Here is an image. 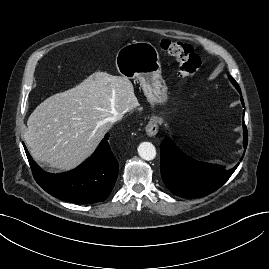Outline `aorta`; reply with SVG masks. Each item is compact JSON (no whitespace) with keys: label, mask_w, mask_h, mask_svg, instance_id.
Returning a JSON list of instances; mask_svg holds the SVG:
<instances>
[{"label":"aorta","mask_w":269,"mask_h":269,"mask_svg":"<svg viewBox=\"0 0 269 269\" xmlns=\"http://www.w3.org/2000/svg\"><path fill=\"white\" fill-rule=\"evenodd\" d=\"M138 154L144 160H153L156 157L155 146L150 142H142L138 146Z\"/></svg>","instance_id":"1"}]
</instances>
